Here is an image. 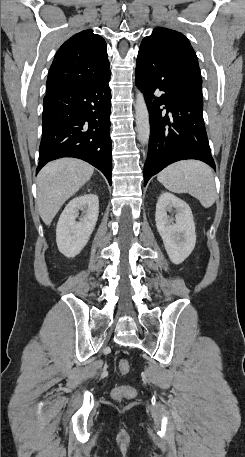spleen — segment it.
Wrapping results in <instances>:
<instances>
[{"mask_svg": "<svg viewBox=\"0 0 245 457\" xmlns=\"http://www.w3.org/2000/svg\"><path fill=\"white\" fill-rule=\"evenodd\" d=\"M159 182L171 192H189L204 208L212 206L217 192L211 166L201 160H179L161 170Z\"/></svg>", "mask_w": 245, "mask_h": 457, "instance_id": "3e777b00", "label": "spleen"}]
</instances>
